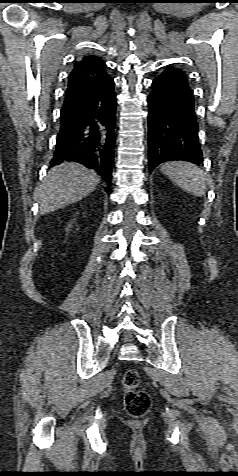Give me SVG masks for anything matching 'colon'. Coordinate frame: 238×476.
I'll return each instance as SVG.
<instances>
[{
	"mask_svg": "<svg viewBox=\"0 0 238 476\" xmlns=\"http://www.w3.org/2000/svg\"><path fill=\"white\" fill-rule=\"evenodd\" d=\"M122 385L125 389L124 408L126 412L139 418L145 415L151 407V398L149 394L140 390V375L135 369H128L123 373Z\"/></svg>",
	"mask_w": 238,
	"mask_h": 476,
	"instance_id": "5ec220e1",
	"label": "colon"
}]
</instances>
